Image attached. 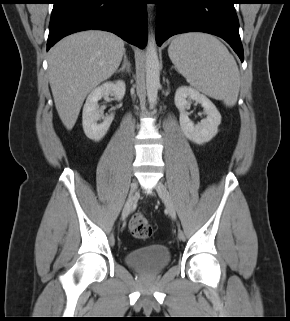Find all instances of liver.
Masks as SVG:
<instances>
[{
    "mask_svg": "<svg viewBox=\"0 0 290 321\" xmlns=\"http://www.w3.org/2000/svg\"><path fill=\"white\" fill-rule=\"evenodd\" d=\"M113 33L89 30L63 38L49 51L48 75L56 110L71 130L90 91L110 78L124 55Z\"/></svg>",
    "mask_w": 290,
    "mask_h": 321,
    "instance_id": "1",
    "label": "liver"
}]
</instances>
